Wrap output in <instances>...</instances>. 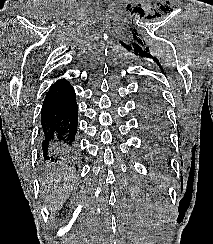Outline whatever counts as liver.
Here are the masks:
<instances>
[{
    "label": "liver",
    "instance_id": "liver-1",
    "mask_svg": "<svg viewBox=\"0 0 213 244\" xmlns=\"http://www.w3.org/2000/svg\"><path fill=\"white\" fill-rule=\"evenodd\" d=\"M41 198L51 213H56L69 198L73 183L70 176L65 174H51L42 181Z\"/></svg>",
    "mask_w": 213,
    "mask_h": 244
}]
</instances>
